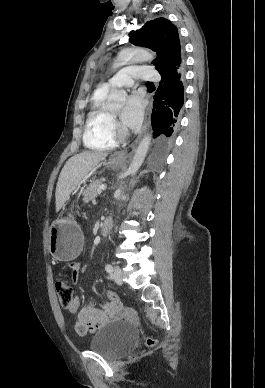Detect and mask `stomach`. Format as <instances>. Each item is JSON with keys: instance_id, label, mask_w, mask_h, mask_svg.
<instances>
[{"instance_id": "stomach-1", "label": "stomach", "mask_w": 265, "mask_h": 388, "mask_svg": "<svg viewBox=\"0 0 265 388\" xmlns=\"http://www.w3.org/2000/svg\"><path fill=\"white\" fill-rule=\"evenodd\" d=\"M124 159L112 156L108 166L118 169L124 164ZM83 242V235L78 224L71 218H61L55 221L50 230V253L60 261L75 259Z\"/></svg>"}]
</instances>
